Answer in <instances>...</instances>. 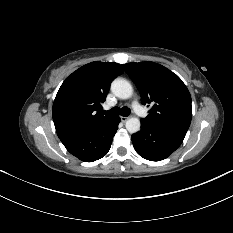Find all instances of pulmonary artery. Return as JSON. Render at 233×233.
Segmentation results:
<instances>
[{
  "label": "pulmonary artery",
  "instance_id": "e3ab8cb5",
  "mask_svg": "<svg viewBox=\"0 0 233 233\" xmlns=\"http://www.w3.org/2000/svg\"><path fill=\"white\" fill-rule=\"evenodd\" d=\"M133 107H134V109H135V111H136L137 113H139V114L142 113L141 107H140V105L138 104V102L135 101V102L133 103Z\"/></svg>",
  "mask_w": 233,
  "mask_h": 233
}]
</instances>
